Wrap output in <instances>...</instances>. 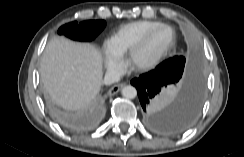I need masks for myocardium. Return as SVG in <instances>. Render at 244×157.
<instances>
[{
  "mask_svg": "<svg viewBox=\"0 0 244 157\" xmlns=\"http://www.w3.org/2000/svg\"><path fill=\"white\" fill-rule=\"evenodd\" d=\"M161 28H169L172 30L173 32V38L172 41L170 42V44L163 49L153 60H151L150 62L144 63V64H137L136 63V57L137 54L141 51V49L144 47V45L146 44V42L148 41V39L151 37V35L156 32L157 30L161 29ZM176 43V31L174 29L173 26H171L170 24H166V23H161L158 24L157 26L153 27L152 29H150L142 38L141 40L134 45L130 51L127 53V64L129 65V67L135 71H139V72H144V71H148L152 68H154L156 65L159 64V62L167 55V53L173 48V46Z\"/></svg>",
  "mask_w": 244,
  "mask_h": 157,
  "instance_id": "myocardium-1",
  "label": "myocardium"
}]
</instances>
